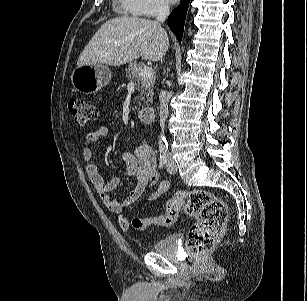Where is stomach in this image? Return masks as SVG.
<instances>
[{
    "mask_svg": "<svg viewBox=\"0 0 307 301\" xmlns=\"http://www.w3.org/2000/svg\"><path fill=\"white\" fill-rule=\"evenodd\" d=\"M111 80V71L105 65L77 66L71 75L73 87L82 93L93 94L106 86Z\"/></svg>",
    "mask_w": 307,
    "mask_h": 301,
    "instance_id": "stomach-1",
    "label": "stomach"
}]
</instances>
